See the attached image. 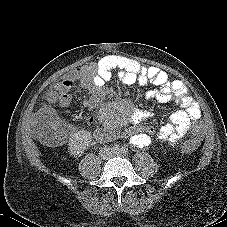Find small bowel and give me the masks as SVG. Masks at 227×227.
I'll return each mask as SVG.
<instances>
[{"label":"small bowel","instance_id":"c3829d8e","mask_svg":"<svg viewBox=\"0 0 227 227\" xmlns=\"http://www.w3.org/2000/svg\"><path fill=\"white\" fill-rule=\"evenodd\" d=\"M114 77L126 85L147 86L155 88L147 91L149 98L161 103L175 102L180 106L171 118V122L157 131L138 129L130 136L131 143L136 147H148L153 136L175 148L192 124L200 117V110L188 95L187 88L180 80H171L168 74L155 67L145 66L138 61L118 55H109L98 62L77 68L58 83L62 94L61 106H68L72 101L71 90L86 89L91 95L84 100V105L93 107L98 102L105 85ZM51 117L54 115L49 113ZM149 113L140 111L132 118L136 123L146 120Z\"/></svg>","mask_w":227,"mask_h":227}]
</instances>
